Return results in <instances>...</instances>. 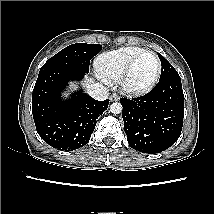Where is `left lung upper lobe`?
Listing matches in <instances>:
<instances>
[{"label": "left lung upper lobe", "instance_id": "5c2ea615", "mask_svg": "<svg viewBox=\"0 0 214 214\" xmlns=\"http://www.w3.org/2000/svg\"><path fill=\"white\" fill-rule=\"evenodd\" d=\"M158 56L162 64L160 80H164L171 77H180L175 68L161 54L158 53Z\"/></svg>", "mask_w": 214, "mask_h": 214}]
</instances>
